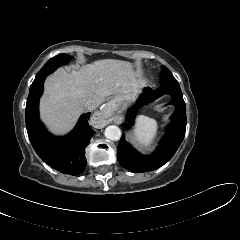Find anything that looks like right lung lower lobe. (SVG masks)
<instances>
[{"instance_id":"right-lung-lower-lobe-1","label":"right lung lower lobe","mask_w":240,"mask_h":240,"mask_svg":"<svg viewBox=\"0 0 240 240\" xmlns=\"http://www.w3.org/2000/svg\"><path fill=\"white\" fill-rule=\"evenodd\" d=\"M46 77L30 87L26 104V128L30 142L38 156L50 167L70 175H78L87 165L85 147L94 131L88 124L90 113L82 115L74 130L65 137L47 132L39 119V99Z\"/></svg>"}]
</instances>
